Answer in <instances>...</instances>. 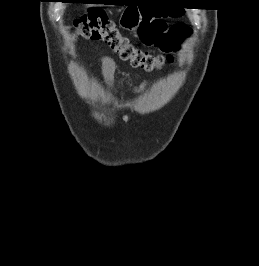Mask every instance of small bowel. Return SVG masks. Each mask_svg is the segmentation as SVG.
<instances>
[{
    "instance_id": "obj_1",
    "label": "small bowel",
    "mask_w": 259,
    "mask_h": 266,
    "mask_svg": "<svg viewBox=\"0 0 259 266\" xmlns=\"http://www.w3.org/2000/svg\"><path fill=\"white\" fill-rule=\"evenodd\" d=\"M101 74L105 84L110 88H115L114 84V72H115V62L109 56L101 57ZM145 84L140 85L139 87L135 88L134 92H139L143 90Z\"/></svg>"
}]
</instances>
